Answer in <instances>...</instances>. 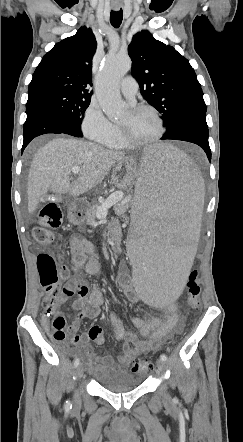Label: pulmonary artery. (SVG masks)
Instances as JSON below:
<instances>
[{
    "mask_svg": "<svg viewBox=\"0 0 243 442\" xmlns=\"http://www.w3.org/2000/svg\"><path fill=\"white\" fill-rule=\"evenodd\" d=\"M120 89L122 94L133 104L138 92L137 81L133 77L127 76L122 80Z\"/></svg>",
    "mask_w": 243,
    "mask_h": 442,
    "instance_id": "obj_1",
    "label": "pulmonary artery"
}]
</instances>
